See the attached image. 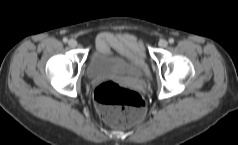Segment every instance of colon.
<instances>
[{
    "mask_svg": "<svg viewBox=\"0 0 238 145\" xmlns=\"http://www.w3.org/2000/svg\"><path fill=\"white\" fill-rule=\"evenodd\" d=\"M94 100L101 117L117 126L134 124L145 115L146 104L142 95L115 81L99 84L94 91Z\"/></svg>",
    "mask_w": 238,
    "mask_h": 145,
    "instance_id": "colon-1",
    "label": "colon"
}]
</instances>
